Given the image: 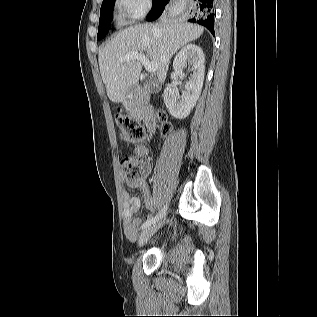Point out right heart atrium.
I'll return each instance as SVG.
<instances>
[{"mask_svg":"<svg viewBox=\"0 0 317 317\" xmlns=\"http://www.w3.org/2000/svg\"><path fill=\"white\" fill-rule=\"evenodd\" d=\"M120 19L124 24L140 20L149 11L151 0H116Z\"/></svg>","mask_w":317,"mask_h":317,"instance_id":"1","label":"right heart atrium"}]
</instances>
